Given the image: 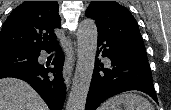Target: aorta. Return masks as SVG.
Returning <instances> with one entry per match:
<instances>
[{
	"instance_id": "obj_1",
	"label": "aorta",
	"mask_w": 171,
	"mask_h": 110,
	"mask_svg": "<svg viewBox=\"0 0 171 110\" xmlns=\"http://www.w3.org/2000/svg\"><path fill=\"white\" fill-rule=\"evenodd\" d=\"M97 26L94 20L84 19L77 30V64L66 110H84L93 76L97 50Z\"/></svg>"
}]
</instances>
